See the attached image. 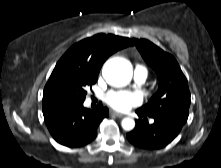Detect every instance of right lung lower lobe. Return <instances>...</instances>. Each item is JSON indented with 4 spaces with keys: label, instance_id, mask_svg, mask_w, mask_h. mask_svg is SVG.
<instances>
[{
    "label": "right lung lower lobe",
    "instance_id": "obj_1",
    "mask_svg": "<svg viewBox=\"0 0 221 168\" xmlns=\"http://www.w3.org/2000/svg\"><path fill=\"white\" fill-rule=\"evenodd\" d=\"M83 102L48 99L43 101V115L52 137L60 144L78 147L91 142L97 135L101 120L109 110L101 104L84 108Z\"/></svg>",
    "mask_w": 221,
    "mask_h": 168
}]
</instances>
